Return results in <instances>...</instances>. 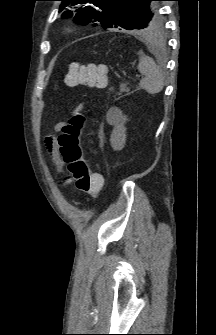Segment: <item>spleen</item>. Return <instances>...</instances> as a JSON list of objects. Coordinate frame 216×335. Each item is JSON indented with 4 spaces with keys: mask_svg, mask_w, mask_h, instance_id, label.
<instances>
[{
    "mask_svg": "<svg viewBox=\"0 0 216 335\" xmlns=\"http://www.w3.org/2000/svg\"><path fill=\"white\" fill-rule=\"evenodd\" d=\"M138 70L144 76L139 83L140 88L149 94H157L162 91L165 80L164 73L151 57L141 54Z\"/></svg>",
    "mask_w": 216,
    "mask_h": 335,
    "instance_id": "obj_1",
    "label": "spleen"
}]
</instances>
